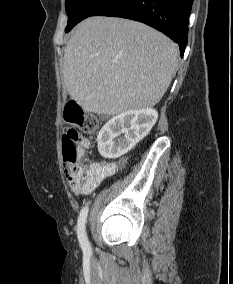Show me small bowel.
Returning <instances> with one entry per match:
<instances>
[{
	"mask_svg": "<svg viewBox=\"0 0 233 284\" xmlns=\"http://www.w3.org/2000/svg\"><path fill=\"white\" fill-rule=\"evenodd\" d=\"M125 163V159H120L115 162H95L90 164L86 172L93 182V189L124 167Z\"/></svg>",
	"mask_w": 233,
	"mask_h": 284,
	"instance_id": "c3829d8e",
	"label": "small bowel"
}]
</instances>
